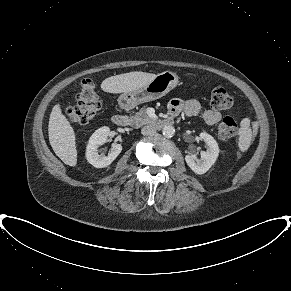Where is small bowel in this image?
Wrapping results in <instances>:
<instances>
[{
    "label": "small bowel",
    "instance_id": "small-bowel-1",
    "mask_svg": "<svg viewBox=\"0 0 291 291\" xmlns=\"http://www.w3.org/2000/svg\"><path fill=\"white\" fill-rule=\"evenodd\" d=\"M169 112L173 115L183 113L187 117L197 116L201 112V104L196 99L181 100L173 99L168 105ZM222 118L220 112L216 110H206L203 113V119L209 126L216 125Z\"/></svg>",
    "mask_w": 291,
    "mask_h": 291
}]
</instances>
